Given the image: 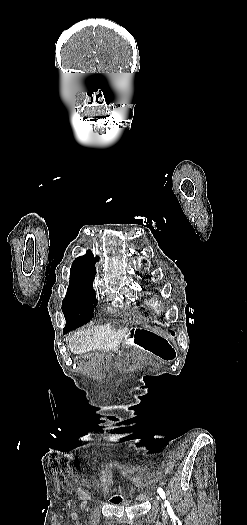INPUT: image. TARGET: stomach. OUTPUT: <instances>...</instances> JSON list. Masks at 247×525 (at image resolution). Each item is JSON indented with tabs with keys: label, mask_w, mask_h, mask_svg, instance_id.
<instances>
[{
	"label": "stomach",
	"mask_w": 247,
	"mask_h": 525,
	"mask_svg": "<svg viewBox=\"0 0 247 525\" xmlns=\"http://www.w3.org/2000/svg\"><path fill=\"white\" fill-rule=\"evenodd\" d=\"M174 332L164 336L149 328H132L127 336V341L134 348L149 353L163 362H171L176 357L173 345Z\"/></svg>",
	"instance_id": "obj_1"
}]
</instances>
